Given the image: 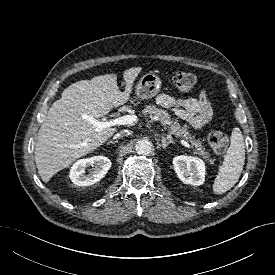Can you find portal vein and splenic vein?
<instances>
[{"mask_svg":"<svg viewBox=\"0 0 275 275\" xmlns=\"http://www.w3.org/2000/svg\"><path fill=\"white\" fill-rule=\"evenodd\" d=\"M82 118L89 121L94 127H96L97 131H101L112 126L132 125L135 121H137L136 115H125L108 121H99L89 115H83ZM181 143L183 146L191 148L190 144L185 140H181Z\"/></svg>","mask_w":275,"mask_h":275,"instance_id":"1","label":"portal vein and splenic vein"}]
</instances>
